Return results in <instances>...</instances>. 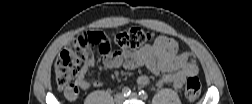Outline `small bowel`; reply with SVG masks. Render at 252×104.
I'll list each match as a JSON object with an SVG mask.
<instances>
[{
    "instance_id": "1",
    "label": "small bowel",
    "mask_w": 252,
    "mask_h": 104,
    "mask_svg": "<svg viewBox=\"0 0 252 104\" xmlns=\"http://www.w3.org/2000/svg\"><path fill=\"white\" fill-rule=\"evenodd\" d=\"M103 64L109 69L123 67L127 70L145 66L158 78L159 87L172 84L175 89L182 88L186 78L197 75L199 71L198 66L192 61L191 55L188 52L178 53L177 42L166 36H159L153 44L135 51L114 52L104 60ZM94 65L93 58L86 59L84 62L85 69H90ZM149 82L150 79L146 75L137 78L140 86H147ZM102 84L101 81L89 82L82 77L80 89L87 90L91 87H100ZM78 97L79 95L75 99H68L75 101Z\"/></svg>"
}]
</instances>
